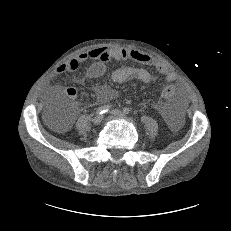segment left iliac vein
<instances>
[{"instance_id": "left-iliac-vein-1", "label": "left iliac vein", "mask_w": 231, "mask_h": 231, "mask_svg": "<svg viewBox=\"0 0 231 231\" xmlns=\"http://www.w3.org/2000/svg\"><path fill=\"white\" fill-rule=\"evenodd\" d=\"M111 113H112L113 116H116V117H120V118L124 117V114L120 110H118V109L112 110Z\"/></svg>"}]
</instances>
